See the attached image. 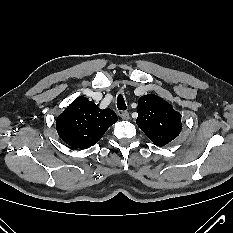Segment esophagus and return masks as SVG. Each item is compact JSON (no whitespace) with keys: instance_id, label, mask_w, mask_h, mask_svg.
I'll use <instances>...</instances> for the list:
<instances>
[{"instance_id":"1","label":"esophagus","mask_w":233,"mask_h":233,"mask_svg":"<svg viewBox=\"0 0 233 233\" xmlns=\"http://www.w3.org/2000/svg\"><path fill=\"white\" fill-rule=\"evenodd\" d=\"M120 116L123 120H128L130 118V115L127 111H123L120 113Z\"/></svg>"}]
</instances>
